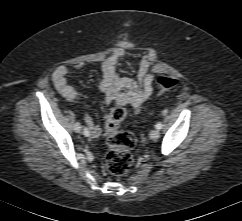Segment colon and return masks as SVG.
Listing matches in <instances>:
<instances>
[{
    "mask_svg": "<svg viewBox=\"0 0 242 221\" xmlns=\"http://www.w3.org/2000/svg\"><path fill=\"white\" fill-rule=\"evenodd\" d=\"M178 84L179 80L173 77L161 76L158 79L161 90L173 89ZM126 116L127 109L125 106L116 104L111 109L105 122L108 145L106 166L116 176L125 175L133 163L131 150L136 145V138L131 132L122 129V122Z\"/></svg>",
    "mask_w": 242,
    "mask_h": 221,
    "instance_id": "5ec220e1",
    "label": "colon"
}]
</instances>
